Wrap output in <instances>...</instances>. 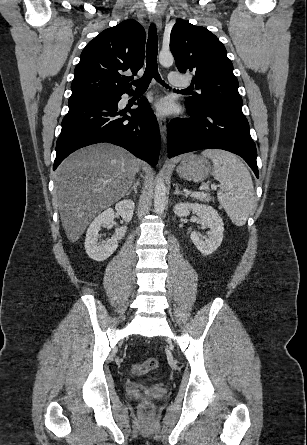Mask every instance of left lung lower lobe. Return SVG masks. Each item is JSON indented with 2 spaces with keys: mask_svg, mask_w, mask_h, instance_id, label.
I'll return each mask as SVG.
<instances>
[{
  "mask_svg": "<svg viewBox=\"0 0 307 445\" xmlns=\"http://www.w3.org/2000/svg\"><path fill=\"white\" fill-rule=\"evenodd\" d=\"M190 118L173 119L168 127V156L218 148L240 155L259 178L256 147L243 113L209 109L190 111Z\"/></svg>",
  "mask_w": 307,
  "mask_h": 445,
  "instance_id": "1",
  "label": "left lung lower lobe"
}]
</instances>
